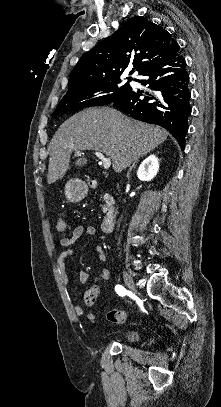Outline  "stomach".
Wrapping results in <instances>:
<instances>
[{
    "label": "stomach",
    "mask_w": 221,
    "mask_h": 407,
    "mask_svg": "<svg viewBox=\"0 0 221 407\" xmlns=\"http://www.w3.org/2000/svg\"><path fill=\"white\" fill-rule=\"evenodd\" d=\"M87 185L80 179H71L65 185V196L69 202L77 203L87 195Z\"/></svg>",
    "instance_id": "stomach-1"
}]
</instances>
